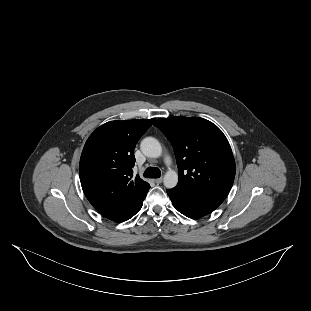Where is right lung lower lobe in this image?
<instances>
[{"mask_svg": "<svg viewBox=\"0 0 311 311\" xmlns=\"http://www.w3.org/2000/svg\"><path fill=\"white\" fill-rule=\"evenodd\" d=\"M145 197H146V196H145ZM144 199H145V198H144ZM144 199H143V200H144ZM143 200L137 205V207L135 208V210L131 213V217L134 216V215L141 209L142 204H143ZM131 217H130V218H131ZM130 218H129V219H130Z\"/></svg>", "mask_w": 311, "mask_h": 311, "instance_id": "98d812e1", "label": "right lung lower lobe"}]
</instances>
